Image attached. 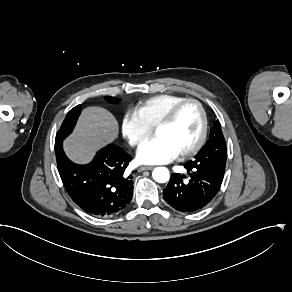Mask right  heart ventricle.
<instances>
[{
  "mask_svg": "<svg viewBox=\"0 0 292 292\" xmlns=\"http://www.w3.org/2000/svg\"><path fill=\"white\" fill-rule=\"evenodd\" d=\"M186 98L175 93H163L139 101L134 110L150 127H154L158 118L175 102Z\"/></svg>",
  "mask_w": 292,
  "mask_h": 292,
  "instance_id": "obj_1",
  "label": "right heart ventricle"
}]
</instances>
